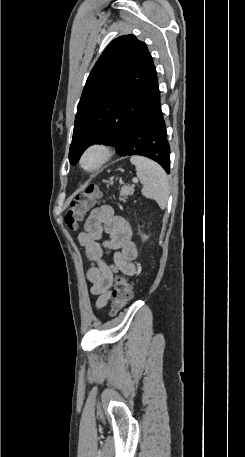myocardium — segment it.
<instances>
[{
  "label": "myocardium",
  "mask_w": 245,
  "mask_h": 457,
  "mask_svg": "<svg viewBox=\"0 0 245 457\" xmlns=\"http://www.w3.org/2000/svg\"><path fill=\"white\" fill-rule=\"evenodd\" d=\"M110 155L111 152L104 143H94L81 156L80 165L84 170L94 172L107 162Z\"/></svg>",
  "instance_id": "1"
}]
</instances>
